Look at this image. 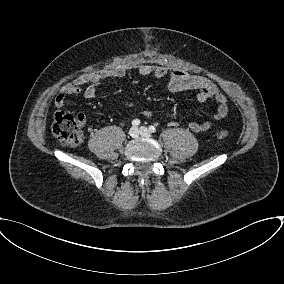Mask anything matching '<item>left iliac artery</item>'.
Here are the masks:
<instances>
[{"instance_id": "1", "label": "left iliac artery", "mask_w": 284, "mask_h": 284, "mask_svg": "<svg viewBox=\"0 0 284 284\" xmlns=\"http://www.w3.org/2000/svg\"><path fill=\"white\" fill-rule=\"evenodd\" d=\"M149 131H150L151 133H155V132H156V128L151 125V126L149 127Z\"/></svg>"}]
</instances>
